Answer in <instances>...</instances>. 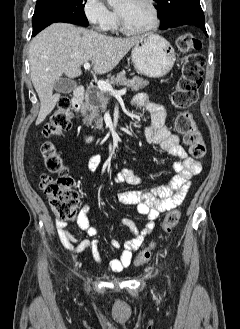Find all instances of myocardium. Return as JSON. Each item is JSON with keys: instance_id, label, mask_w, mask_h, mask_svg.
<instances>
[{"instance_id": "obj_1", "label": "myocardium", "mask_w": 240, "mask_h": 329, "mask_svg": "<svg viewBox=\"0 0 240 329\" xmlns=\"http://www.w3.org/2000/svg\"><path fill=\"white\" fill-rule=\"evenodd\" d=\"M147 4L150 6L151 10H152V15H153V21L152 23L142 29H132L130 27L127 26L123 16L121 15V13L117 10V18H118V26L121 32L128 34V35H145V34H149L153 31H155L161 22V18H160V12L158 9V6L155 2V0H146Z\"/></svg>"}]
</instances>
